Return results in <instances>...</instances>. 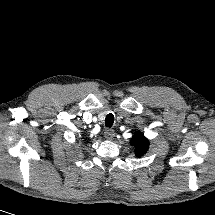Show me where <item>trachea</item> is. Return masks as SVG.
Masks as SVG:
<instances>
[{
    "mask_svg": "<svg viewBox=\"0 0 215 215\" xmlns=\"http://www.w3.org/2000/svg\"><path fill=\"white\" fill-rule=\"evenodd\" d=\"M113 123H114V115L112 113H109L105 119L106 127H109V128L112 127Z\"/></svg>",
    "mask_w": 215,
    "mask_h": 215,
    "instance_id": "obj_1",
    "label": "trachea"
}]
</instances>
